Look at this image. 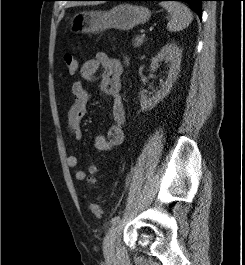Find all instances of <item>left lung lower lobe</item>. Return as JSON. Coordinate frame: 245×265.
Listing matches in <instances>:
<instances>
[{"instance_id":"obj_1","label":"left lung lower lobe","mask_w":245,"mask_h":265,"mask_svg":"<svg viewBox=\"0 0 245 265\" xmlns=\"http://www.w3.org/2000/svg\"><path fill=\"white\" fill-rule=\"evenodd\" d=\"M95 1V0H88ZM104 1H183L188 3L192 9L199 15V18L202 17V1L205 0H104Z\"/></svg>"}]
</instances>
